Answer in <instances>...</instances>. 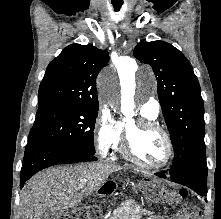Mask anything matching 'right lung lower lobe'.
Segmentation results:
<instances>
[{
    "label": "right lung lower lobe",
    "instance_id": "1",
    "mask_svg": "<svg viewBox=\"0 0 221 219\" xmlns=\"http://www.w3.org/2000/svg\"><path fill=\"white\" fill-rule=\"evenodd\" d=\"M96 160L93 154L75 151L44 139H33L28 142L25 150L20 188L32 175L49 166Z\"/></svg>",
    "mask_w": 221,
    "mask_h": 219
}]
</instances>
